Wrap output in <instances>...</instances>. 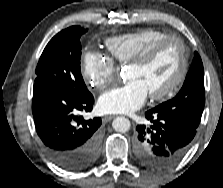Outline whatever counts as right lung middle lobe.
<instances>
[{"label":"right lung middle lobe","instance_id":"1","mask_svg":"<svg viewBox=\"0 0 223 188\" xmlns=\"http://www.w3.org/2000/svg\"><path fill=\"white\" fill-rule=\"evenodd\" d=\"M86 32L80 26H71L50 40L39 59L34 85L65 90L77 96L90 94L80 71V38Z\"/></svg>","mask_w":223,"mask_h":188}]
</instances>
